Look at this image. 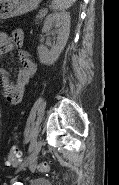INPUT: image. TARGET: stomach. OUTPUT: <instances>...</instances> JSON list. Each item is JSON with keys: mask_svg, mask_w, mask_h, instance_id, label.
Here are the masks:
<instances>
[{"mask_svg": "<svg viewBox=\"0 0 119 185\" xmlns=\"http://www.w3.org/2000/svg\"><path fill=\"white\" fill-rule=\"evenodd\" d=\"M41 0H0V19L22 15L38 7Z\"/></svg>", "mask_w": 119, "mask_h": 185, "instance_id": "obj_1", "label": "stomach"}]
</instances>
